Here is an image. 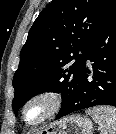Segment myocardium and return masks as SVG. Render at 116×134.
I'll return each instance as SVG.
<instances>
[{
  "instance_id": "1",
  "label": "myocardium",
  "mask_w": 116,
  "mask_h": 134,
  "mask_svg": "<svg viewBox=\"0 0 116 134\" xmlns=\"http://www.w3.org/2000/svg\"><path fill=\"white\" fill-rule=\"evenodd\" d=\"M34 106H42L43 111L35 120H29L28 112ZM61 107L62 97L58 92L52 90L41 91L31 96L24 103L21 109V120L29 127L39 126L53 118Z\"/></svg>"
}]
</instances>
